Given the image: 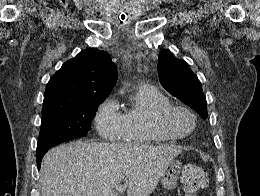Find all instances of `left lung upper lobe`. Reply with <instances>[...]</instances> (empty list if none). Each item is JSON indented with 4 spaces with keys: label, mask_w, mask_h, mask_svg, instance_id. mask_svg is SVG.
Masks as SVG:
<instances>
[{
    "label": "left lung upper lobe",
    "mask_w": 260,
    "mask_h": 196,
    "mask_svg": "<svg viewBox=\"0 0 260 196\" xmlns=\"http://www.w3.org/2000/svg\"><path fill=\"white\" fill-rule=\"evenodd\" d=\"M158 73L160 83L169 93L196 110L204 119L207 118V103L201 83L185 61L163 50L159 55Z\"/></svg>",
    "instance_id": "left-lung-upper-lobe-1"
}]
</instances>
